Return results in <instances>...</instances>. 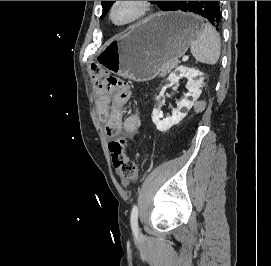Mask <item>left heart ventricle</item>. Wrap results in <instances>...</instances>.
Listing matches in <instances>:
<instances>
[{
    "label": "left heart ventricle",
    "mask_w": 271,
    "mask_h": 266,
    "mask_svg": "<svg viewBox=\"0 0 271 266\" xmlns=\"http://www.w3.org/2000/svg\"><path fill=\"white\" fill-rule=\"evenodd\" d=\"M138 11V5L132 1L119 3L114 10V19L117 22H125L134 17Z\"/></svg>",
    "instance_id": "b2bd125f"
}]
</instances>
